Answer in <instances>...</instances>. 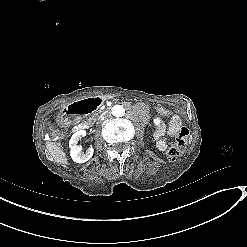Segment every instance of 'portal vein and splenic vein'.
Listing matches in <instances>:
<instances>
[{"instance_id":"18ae733b","label":"portal vein and splenic vein","mask_w":247,"mask_h":247,"mask_svg":"<svg viewBox=\"0 0 247 247\" xmlns=\"http://www.w3.org/2000/svg\"><path fill=\"white\" fill-rule=\"evenodd\" d=\"M105 109H106V106L100 107V110H105Z\"/></svg>"}]
</instances>
